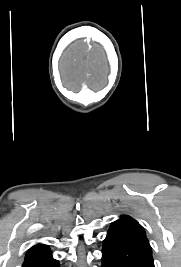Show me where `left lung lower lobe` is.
<instances>
[{"instance_id": "1", "label": "left lung lower lobe", "mask_w": 181, "mask_h": 267, "mask_svg": "<svg viewBox=\"0 0 181 267\" xmlns=\"http://www.w3.org/2000/svg\"><path fill=\"white\" fill-rule=\"evenodd\" d=\"M102 254V267H155L145 234L127 223H112Z\"/></svg>"}]
</instances>
